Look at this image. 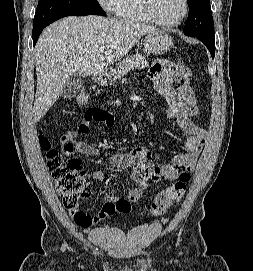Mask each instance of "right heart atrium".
I'll return each instance as SVG.
<instances>
[{
    "label": "right heart atrium",
    "mask_w": 253,
    "mask_h": 271,
    "mask_svg": "<svg viewBox=\"0 0 253 271\" xmlns=\"http://www.w3.org/2000/svg\"><path fill=\"white\" fill-rule=\"evenodd\" d=\"M98 2L108 13H115L120 0H98Z\"/></svg>",
    "instance_id": "d8ad5b80"
}]
</instances>
